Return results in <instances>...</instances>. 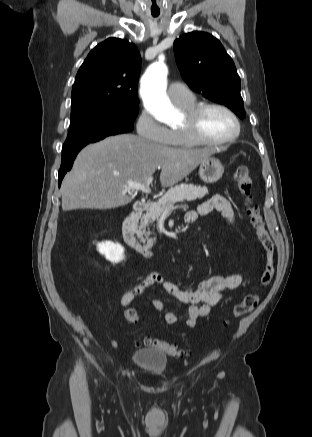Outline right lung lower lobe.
<instances>
[{
    "label": "right lung lower lobe",
    "instance_id": "right-lung-lower-lobe-1",
    "mask_svg": "<svg viewBox=\"0 0 312 437\" xmlns=\"http://www.w3.org/2000/svg\"><path fill=\"white\" fill-rule=\"evenodd\" d=\"M82 148L62 154V164H61L60 170L58 172L59 186L61 185V181H62L64 175L66 174V172L71 169L76 155L78 154V152Z\"/></svg>",
    "mask_w": 312,
    "mask_h": 437
}]
</instances>
